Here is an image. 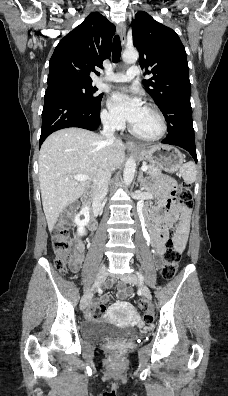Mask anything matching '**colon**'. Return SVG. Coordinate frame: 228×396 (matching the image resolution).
Masks as SVG:
<instances>
[{"mask_svg": "<svg viewBox=\"0 0 228 396\" xmlns=\"http://www.w3.org/2000/svg\"><path fill=\"white\" fill-rule=\"evenodd\" d=\"M167 185L172 189L173 195H178L179 201L183 206L190 207L192 202V192L190 186L185 183H177L172 179H166ZM71 224V212L64 213L53 225L52 228V247L56 256L55 266L62 273L66 274L75 261V255L71 252V242L69 229ZM181 258V250L178 249L172 238L167 242V250L164 253V263L162 275L165 279H171L177 272L178 264ZM138 306L146 310L147 306L144 301H139ZM102 304H93L91 307V316L99 318L104 313ZM153 320L149 313H145L144 321L151 323Z\"/></svg>", "mask_w": 228, "mask_h": 396, "instance_id": "obj_1", "label": "colon"}]
</instances>
